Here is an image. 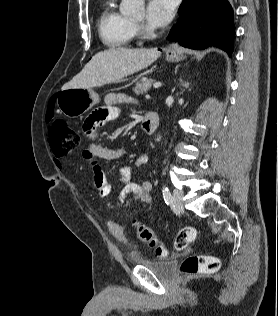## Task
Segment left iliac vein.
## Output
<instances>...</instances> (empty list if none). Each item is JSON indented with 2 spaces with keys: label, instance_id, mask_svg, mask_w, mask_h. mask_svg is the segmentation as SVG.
Masks as SVG:
<instances>
[{
  "label": "left iliac vein",
  "instance_id": "4c4485c4",
  "mask_svg": "<svg viewBox=\"0 0 278 316\" xmlns=\"http://www.w3.org/2000/svg\"><path fill=\"white\" fill-rule=\"evenodd\" d=\"M173 195H174V204L176 208L179 211H183L184 210V202H183L184 193L181 190H174Z\"/></svg>",
  "mask_w": 278,
  "mask_h": 316
}]
</instances>
